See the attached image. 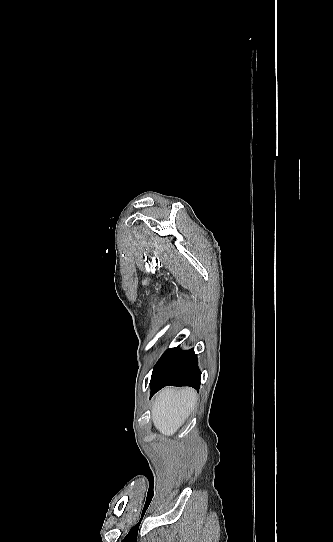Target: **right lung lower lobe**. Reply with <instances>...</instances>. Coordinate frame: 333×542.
Instances as JSON below:
<instances>
[{
	"instance_id": "right-lung-lower-lobe-1",
	"label": "right lung lower lobe",
	"mask_w": 333,
	"mask_h": 542,
	"mask_svg": "<svg viewBox=\"0 0 333 542\" xmlns=\"http://www.w3.org/2000/svg\"><path fill=\"white\" fill-rule=\"evenodd\" d=\"M200 378L201 372L194 349H168L154 366L150 381L151 397L168 385L190 386L198 390Z\"/></svg>"
}]
</instances>
